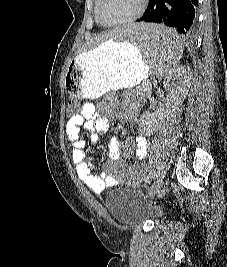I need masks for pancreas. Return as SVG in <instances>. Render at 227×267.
<instances>
[{
  "instance_id": "cf45deb5",
  "label": "pancreas",
  "mask_w": 227,
  "mask_h": 267,
  "mask_svg": "<svg viewBox=\"0 0 227 267\" xmlns=\"http://www.w3.org/2000/svg\"><path fill=\"white\" fill-rule=\"evenodd\" d=\"M139 90L149 94L151 92V84L148 81H143L142 85L137 87Z\"/></svg>"
}]
</instances>
